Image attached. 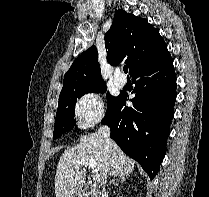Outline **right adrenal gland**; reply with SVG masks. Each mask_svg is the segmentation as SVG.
<instances>
[{"mask_svg":"<svg viewBox=\"0 0 209 197\" xmlns=\"http://www.w3.org/2000/svg\"><path fill=\"white\" fill-rule=\"evenodd\" d=\"M116 181H120L121 183L125 182L126 181V175L125 174L118 175V178H117ZM110 183H113L114 184L115 183V178Z\"/></svg>","mask_w":209,"mask_h":197,"instance_id":"obj_1","label":"right adrenal gland"}]
</instances>
